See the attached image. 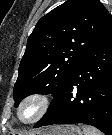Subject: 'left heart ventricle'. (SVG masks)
Wrapping results in <instances>:
<instances>
[{
	"instance_id": "1",
	"label": "left heart ventricle",
	"mask_w": 112,
	"mask_h": 135,
	"mask_svg": "<svg viewBox=\"0 0 112 135\" xmlns=\"http://www.w3.org/2000/svg\"><path fill=\"white\" fill-rule=\"evenodd\" d=\"M36 111V108L34 105L29 104L27 106H25L22 111H21V117L23 119H29L30 117H32L34 115Z\"/></svg>"
}]
</instances>
